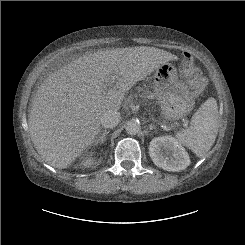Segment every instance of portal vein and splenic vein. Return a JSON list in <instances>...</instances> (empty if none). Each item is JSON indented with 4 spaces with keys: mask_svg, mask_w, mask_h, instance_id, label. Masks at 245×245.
Masks as SVG:
<instances>
[{
    "mask_svg": "<svg viewBox=\"0 0 245 245\" xmlns=\"http://www.w3.org/2000/svg\"><path fill=\"white\" fill-rule=\"evenodd\" d=\"M184 126L187 127L188 126V121L184 122Z\"/></svg>",
    "mask_w": 245,
    "mask_h": 245,
    "instance_id": "1",
    "label": "portal vein and splenic vein"
}]
</instances>
